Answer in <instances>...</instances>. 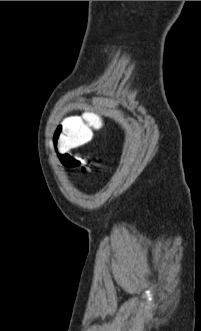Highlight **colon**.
Returning <instances> with one entry per match:
<instances>
[{"label": "colon", "mask_w": 201, "mask_h": 331, "mask_svg": "<svg viewBox=\"0 0 201 331\" xmlns=\"http://www.w3.org/2000/svg\"><path fill=\"white\" fill-rule=\"evenodd\" d=\"M103 122L95 113H86L81 116H71L63 119L54 132V145L57 149L63 150L61 155L62 163L71 169L84 166V160L67 153V150L89 143L93 131L100 130Z\"/></svg>", "instance_id": "1"}]
</instances>
